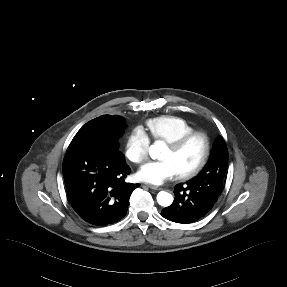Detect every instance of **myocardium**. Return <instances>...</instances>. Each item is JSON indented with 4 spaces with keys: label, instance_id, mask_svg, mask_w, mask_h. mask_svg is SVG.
Here are the masks:
<instances>
[{
    "label": "myocardium",
    "instance_id": "f54148a6",
    "mask_svg": "<svg viewBox=\"0 0 287 287\" xmlns=\"http://www.w3.org/2000/svg\"><path fill=\"white\" fill-rule=\"evenodd\" d=\"M200 138L203 142V152L201 155L200 160L197 162L196 165H194L192 168L179 173L178 178L180 179H189L197 175L206 165L210 152H211V141L209 136L202 131H193L191 133H188L178 140L167 143V147L172 150L173 152H179L182 149H184L192 140Z\"/></svg>",
    "mask_w": 287,
    "mask_h": 287
}]
</instances>
